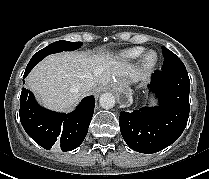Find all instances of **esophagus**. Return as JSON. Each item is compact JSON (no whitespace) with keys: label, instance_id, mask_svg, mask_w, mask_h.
Listing matches in <instances>:
<instances>
[{"label":"esophagus","instance_id":"obj_1","mask_svg":"<svg viewBox=\"0 0 209 179\" xmlns=\"http://www.w3.org/2000/svg\"><path fill=\"white\" fill-rule=\"evenodd\" d=\"M117 100L121 103V104H126L129 100H130V95L127 92H120L117 95Z\"/></svg>","mask_w":209,"mask_h":179}]
</instances>
